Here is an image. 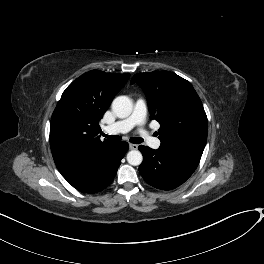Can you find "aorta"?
<instances>
[{"mask_svg": "<svg viewBox=\"0 0 264 264\" xmlns=\"http://www.w3.org/2000/svg\"><path fill=\"white\" fill-rule=\"evenodd\" d=\"M132 101L127 96H118L112 102V110L119 118H126L132 112ZM143 157L140 151L131 150L127 154V162L130 165L137 166L142 163Z\"/></svg>", "mask_w": 264, "mask_h": 264, "instance_id": "aorta-1", "label": "aorta"}]
</instances>
